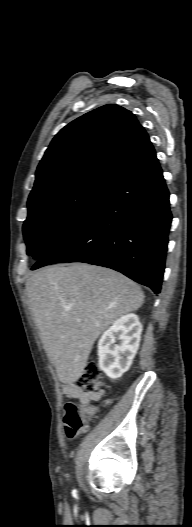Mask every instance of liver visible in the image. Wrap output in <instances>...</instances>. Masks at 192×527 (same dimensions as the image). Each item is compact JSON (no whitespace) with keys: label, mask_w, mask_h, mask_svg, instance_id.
<instances>
[{"label":"liver","mask_w":192,"mask_h":527,"mask_svg":"<svg viewBox=\"0 0 192 527\" xmlns=\"http://www.w3.org/2000/svg\"><path fill=\"white\" fill-rule=\"evenodd\" d=\"M26 293L44 349L64 384L81 377L94 342L106 328L144 302L143 291L129 278L82 263L34 273Z\"/></svg>","instance_id":"1"}]
</instances>
